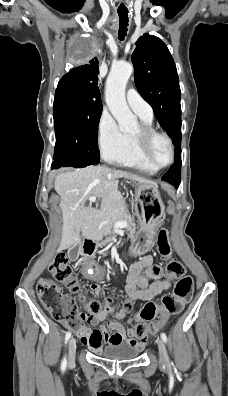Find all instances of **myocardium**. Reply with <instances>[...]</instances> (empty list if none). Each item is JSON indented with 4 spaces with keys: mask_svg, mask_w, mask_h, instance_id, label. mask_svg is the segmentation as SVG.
Wrapping results in <instances>:
<instances>
[{
    "mask_svg": "<svg viewBox=\"0 0 228 396\" xmlns=\"http://www.w3.org/2000/svg\"><path fill=\"white\" fill-rule=\"evenodd\" d=\"M134 142L136 144L137 150L143 159V161L151 168L155 169L156 171L162 170L170 166L175 158V150L172 139L164 132H161L155 129L153 126L143 124L140 127V130L137 134L133 136ZM163 138L170 149V159L166 164L158 165L156 164L152 157H151V145L156 138Z\"/></svg>",
    "mask_w": 228,
    "mask_h": 396,
    "instance_id": "myocardium-1",
    "label": "myocardium"
}]
</instances>
